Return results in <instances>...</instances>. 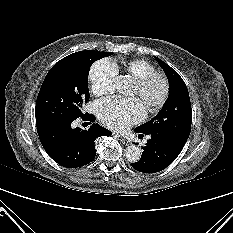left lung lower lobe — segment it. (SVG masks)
Instances as JSON below:
<instances>
[{
  "label": "left lung lower lobe",
  "instance_id": "0a47b994",
  "mask_svg": "<svg viewBox=\"0 0 233 233\" xmlns=\"http://www.w3.org/2000/svg\"><path fill=\"white\" fill-rule=\"evenodd\" d=\"M135 132L140 133L135 130ZM143 136V133L140 134ZM147 135V134H146ZM151 138L138 162L131 163L132 167L144 173H156L168 167L180 154L183 147L175 144L167 137L159 133H150Z\"/></svg>",
  "mask_w": 233,
  "mask_h": 233
}]
</instances>
